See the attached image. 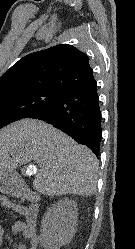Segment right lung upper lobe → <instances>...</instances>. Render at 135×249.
I'll return each mask as SVG.
<instances>
[{
  "label": "right lung upper lobe",
  "mask_w": 135,
  "mask_h": 249,
  "mask_svg": "<svg viewBox=\"0 0 135 249\" xmlns=\"http://www.w3.org/2000/svg\"><path fill=\"white\" fill-rule=\"evenodd\" d=\"M94 80L88 56L68 44L26 55L0 77V96L66 92Z\"/></svg>",
  "instance_id": "cb5924a9"
}]
</instances>
